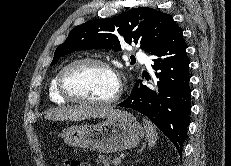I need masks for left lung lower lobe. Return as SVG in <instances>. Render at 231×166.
<instances>
[{"instance_id":"obj_1","label":"left lung lower lobe","mask_w":231,"mask_h":166,"mask_svg":"<svg viewBox=\"0 0 231 166\" xmlns=\"http://www.w3.org/2000/svg\"><path fill=\"white\" fill-rule=\"evenodd\" d=\"M150 55L154 57L153 85L148 87L137 80L130 96L119 106L147 116L182 153L190 119L191 90L189 59L181 28L176 26Z\"/></svg>"}]
</instances>
